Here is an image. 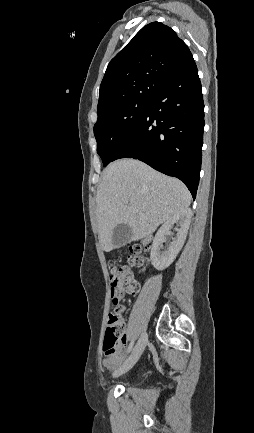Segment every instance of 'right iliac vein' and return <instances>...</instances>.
Wrapping results in <instances>:
<instances>
[{
	"label": "right iliac vein",
	"mask_w": 254,
	"mask_h": 433,
	"mask_svg": "<svg viewBox=\"0 0 254 433\" xmlns=\"http://www.w3.org/2000/svg\"><path fill=\"white\" fill-rule=\"evenodd\" d=\"M147 342H148L147 334L143 333L141 335L140 339L138 340L137 344L135 345L129 358L125 361V363L120 368H118L114 372V377H118V376L128 372L135 365V363L138 361L141 354L143 353V351L147 345Z\"/></svg>",
	"instance_id": "1"
}]
</instances>
